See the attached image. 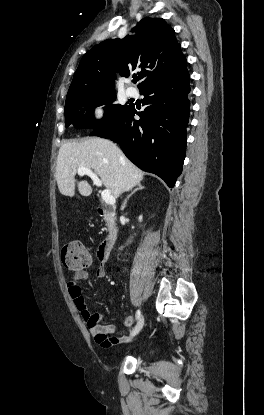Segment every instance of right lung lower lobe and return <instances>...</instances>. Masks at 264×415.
Wrapping results in <instances>:
<instances>
[{
	"instance_id": "right-lung-lower-lobe-1",
	"label": "right lung lower lobe",
	"mask_w": 264,
	"mask_h": 415,
	"mask_svg": "<svg viewBox=\"0 0 264 415\" xmlns=\"http://www.w3.org/2000/svg\"><path fill=\"white\" fill-rule=\"evenodd\" d=\"M189 73L150 84L140 93L145 96L143 112L129 107L113 121L94 129L90 136L111 139L140 169L154 173L173 187L182 172L186 152V127L189 120Z\"/></svg>"
}]
</instances>
